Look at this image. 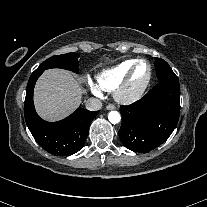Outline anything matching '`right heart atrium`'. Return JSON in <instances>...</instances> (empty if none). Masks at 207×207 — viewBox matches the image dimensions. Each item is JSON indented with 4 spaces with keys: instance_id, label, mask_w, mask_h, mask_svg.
I'll use <instances>...</instances> for the list:
<instances>
[{
    "instance_id": "d8ad5b80",
    "label": "right heart atrium",
    "mask_w": 207,
    "mask_h": 207,
    "mask_svg": "<svg viewBox=\"0 0 207 207\" xmlns=\"http://www.w3.org/2000/svg\"><path fill=\"white\" fill-rule=\"evenodd\" d=\"M94 89V91L96 92V93H99V91L96 89V88H93Z\"/></svg>"
}]
</instances>
